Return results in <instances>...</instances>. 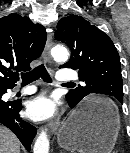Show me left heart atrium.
<instances>
[{
	"label": "left heart atrium",
	"mask_w": 130,
	"mask_h": 153,
	"mask_svg": "<svg viewBox=\"0 0 130 153\" xmlns=\"http://www.w3.org/2000/svg\"><path fill=\"white\" fill-rule=\"evenodd\" d=\"M57 106L53 97L42 94L28 104V114L35 120H44L53 116L56 112Z\"/></svg>",
	"instance_id": "1"
}]
</instances>
